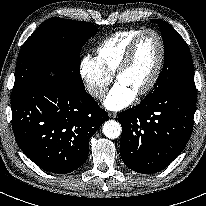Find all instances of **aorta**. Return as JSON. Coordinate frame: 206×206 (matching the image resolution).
Instances as JSON below:
<instances>
[{
    "instance_id": "aorta-1",
    "label": "aorta",
    "mask_w": 206,
    "mask_h": 206,
    "mask_svg": "<svg viewBox=\"0 0 206 206\" xmlns=\"http://www.w3.org/2000/svg\"><path fill=\"white\" fill-rule=\"evenodd\" d=\"M121 125L115 120H108L103 124V133L109 139H116L121 135Z\"/></svg>"
}]
</instances>
